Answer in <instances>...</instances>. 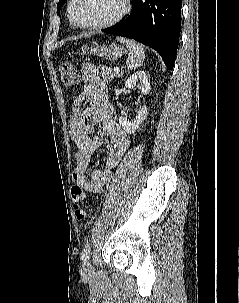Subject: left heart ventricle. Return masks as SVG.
Wrapping results in <instances>:
<instances>
[{
  "label": "left heart ventricle",
  "mask_w": 239,
  "mask_h": 303,
  "mask_svg": "<svg viewBox=\"0 0 239 303\" xmlns=\"http://www.w3.org/2000/svg\"><path fill=\"white\" fill-rule=\"evenodd\" d=\"M122 10V0H80L79 19L85 24H96L114 18Z\"/></svg>",
  "instance_id": "b2bd125f"
}]
</instances>
